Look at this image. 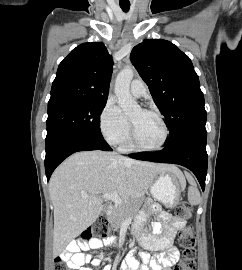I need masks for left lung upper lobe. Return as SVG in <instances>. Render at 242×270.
<instances>
[{
	"instance_id": "left-lung-upper-lobe-1",
	"label": "left lung upper lobe",
	"mask_w": 242,
	"mask_h": 270,
	"mask_svg": "<svg viewBox=\"0 0 242 270\" xmlns=\"http://www.w3.org/2000/svg\"><path fill=\"white\" fill-rule=\"evenodd\" d=\"M130 58L166 118L170 131L166 141L205 127L204 95L187 55L169 41L148 39L132 49Z\"/></svg>"
}]
</instances>
